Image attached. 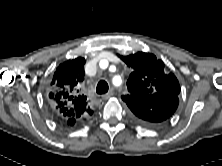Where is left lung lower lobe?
<instances>
[{"label": "left lung lower lobe", "mask_w": 222, "mask_h": 166, "mask_svg": "<svg viewBox=\"0 0 222 166\" xmlns=\"http://www.w3.org/2000/svg\"><path fill=\"white\" fill-rule=\"evenodd\" d=\"M132 111L137 122L153 126L169 119L178 107L179 98L176 95L160 97L150 102L144 97H131Z\"/></svg>", "instance_id": "left-lung-lower-lobe-1"}]
</instances>
